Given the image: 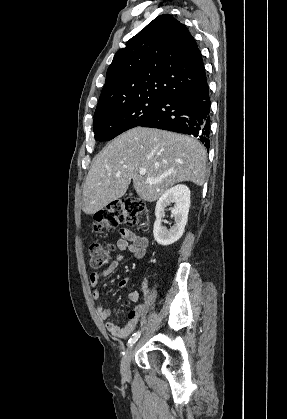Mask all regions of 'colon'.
Listing matches in <instances>:
<instances>
[{"instance_id": "5ec220e1", "label": "colon", "mask_w": 287, "mask_h": 419, "mask_svg": "<svg viewBox=\"0 0 287 419\" xmlns=\"http://www.w3.org/2000/svg\"><path fill=\"white\" fill-rule=\"evenodd\" d=\"M145 206L141 200L125 197L111 202L106 208L94 216L93 228L96 231H114L120 224L134 225ZM112 246L103 242L90 245V263L93 267H101L110 259Z\"/></svg>"}]
</instances>
